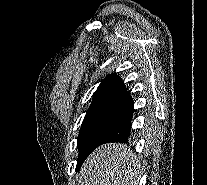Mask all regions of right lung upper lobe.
<instances>
[{
	"mask_svg": "<svg viewBox=\"0 0 207 185\" xmlns=\"http://www.w3.org/2000/svg\"><path fill=\"white\" fill-rule=\"evenodd\" d=\"M133 107V100L121 78L115 73L102 80L93 94V100L88 111L113 110L127 112Z\"/></svg>",
	"mask_w": 207,
	"mask_h": 185,
	"instance_id": "1",
	"label": "right lung upper lobe"
}]
</instances>
